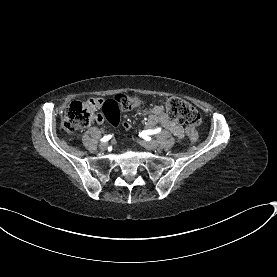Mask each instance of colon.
Segmentation results:
<instances>
[{"mask_svg": "<svg viewBox=\"0 0 277 277\" xmlns=\"http://www.w3.org/2000/svg\"><path fill=\"white\" fill-rule=\"evenodd\" d=\"M115 98H118L119 110L124 112L144 104V100L136 96L120 94ZM102 108L103 105L97 99H90L86 104L80 101H73L64 114V125L72 134H76L95 119L103 120ZM165 109L169 117L177 119L186 125V137L192 143H196L199 139L196 125L200 118L196 109L179 97L169 98Z\"/></svg>", "mask_w": 277, "mask_h": 277, "instance_id": "colon-1", "label": "colon"}]
</instances>
